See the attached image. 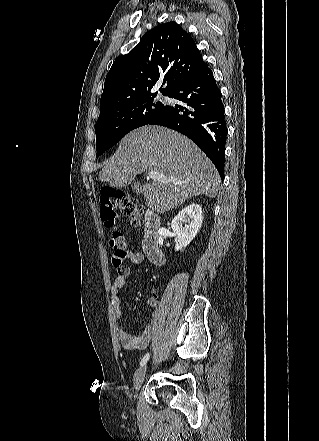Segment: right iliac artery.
Here are the masks:
<instances>
[{"label": "right iliac artery", "mask_w": 319, "mask_h": 441, "mask_svg": "<svg viewBox=\"0 0 319 441\" xmlns=\"http://www.w3.org/2000/svg\"><path fill=\"white\" fill-rule=\"evenodd\" d=\"M149 357H150V354L147 353V354L143 357V359L141 360V362H140V366H144V365L146 364V362L148 361Z\"/></svg>", "instance_id": "obj_1"}]
</instances>
